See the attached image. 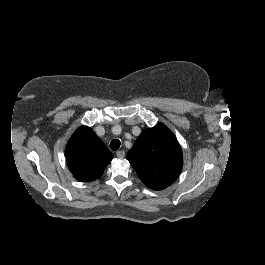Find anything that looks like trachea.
Here are the masks:
<instances>
[{
	"label": "trachea",
	"mask_w": 265,
	"mask_h": 265,
	"mask_svg": "<svg viewBox=\"0 0 265 265\" xmlns=\"http://www.w3.org/2000/svg\"><path fill=\"white\" fill-rule=\"evenodd\" d=\"M110 147H111V149L112 150H118L119 149V147H120V140L119 139H114V140H112L111 141V143H110Z\"/></svg>",
	"instance_id": "obj_1"
}]
</instances>
